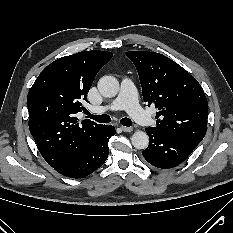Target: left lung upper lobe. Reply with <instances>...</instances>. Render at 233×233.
<instances>
[{
	"mask_svg": "<svg viewBox=\"0 0 233 233\" xmlns=\"http://www.w3.org/2000/svg\"><path fill=\"white\" fill-rule=\"evenodd\" d=\"M139 74L144 101L154 104L156 127L163 133L200 143L207 130L208 102L201 85L168 57L146 51H128Z\"/></svg>",
	"mask_w": 233,
	"mask_h": 233,
	"instance_id": "1",
	"label": "left lung upper lobe"
}]
</instances>
